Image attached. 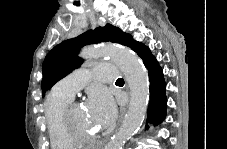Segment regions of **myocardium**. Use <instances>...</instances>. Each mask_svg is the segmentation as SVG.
<instances>
[{
    "label": "myocardium",
    "mask_w": 227,
    "mask_h": 149,
    "mask_svg": "<svg viewBox=\"0 0 227 149\" xmlns=\"http://www.w3.org/2000/svg\"><path fill=\"white\" fill-rule=\"evenodd\" d=\"M79 107V103L70 102L64 109L62 120L66 134L78 144L89 143L96 138V134H84L77 131L74 127L73 113Z\"/></svg>",
    "instance_id": "1"
}]
</instances>
